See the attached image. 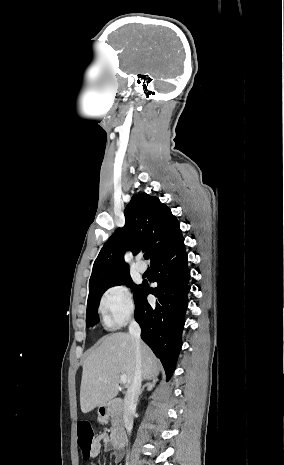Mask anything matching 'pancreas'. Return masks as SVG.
I'll return each mask as SVG.
<instances>
[{
  "instance_id": "1",
  "label": "pancreas",
  "mask_w": 284,
  "mask_h": 465,
  "mask_svg": "<svg viewBox=\"0 0 284 465\" xmlns=\"http://www.w3.org/2000/svg\"><path fill=\"white\" fill-rule=\"evenodd\" d=\"M119 421L120 417L118 413H111L112 433H114V429H116V427H119Z\"/></svg>"
}]
</instances>
